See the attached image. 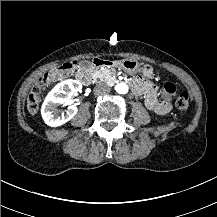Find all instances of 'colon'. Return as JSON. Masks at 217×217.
<instances>
[{"label": "colon", "mask_w": 217, "mask_h": 217, "mask_svg": "<svg viewBox=\"0 0 217 217\" xmlns=\"http://www.w3.org/2000/svg\"><path fill=\"white\" fill-rule=\"evenodd\" d=\"M78 69V64L75 61H70L65 66L54 67L52 70H46L41 74V78L35 81V87L31 89L27 97V109L29 113H36L40 102V88L52 76L55 79H61L69 76ZM162 92L168 97L175 98V106L179 110H186L190 104L189 95L186 92H178L177 84L174 82H164Z\"/></svg>", "instance_id": "5ec220e1"}]
</instances>
